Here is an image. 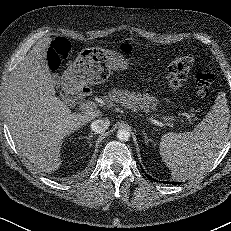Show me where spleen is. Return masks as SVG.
<instances>
[{
  "mask_svg": "<svg viewBox=\"0 0 231 231\" xmlns=\"http://www.w3.org/2000/svg\"><path fill=\"white\" fill-rule=\"evenodd\" d=\"M230 111L225 94L192 132L173 133L160 142V155L176 181L192 179L209 169L226 143Z\"/></svg>",
  "mask_w": 231,
  "mask_h": 231,
  "instance_id": "1",
  "label": "spleen"
}]
</instances>
